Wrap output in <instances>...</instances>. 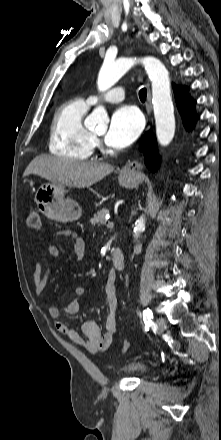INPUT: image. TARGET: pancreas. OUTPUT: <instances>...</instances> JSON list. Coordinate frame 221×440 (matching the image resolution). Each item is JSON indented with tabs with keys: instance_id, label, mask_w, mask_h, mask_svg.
Listing matches in <instances>:
<instances>
[{
	"instance_id": "pancreas-1",
	"label": "pancreas",
	"mask_w": 221,
	"mask_h": 440,
	"mask_svg": "<svg viewBox=\"0 0 221 440\" xmlns=\"http://www.w3.org/2000/svg\"><path fill=\"white\" fill-rule=\"evenodd\" d=\"M107 214H109V210L102 208L93 216V218L90 219V223L98 226L103 225L105 223V216Z\"/></svg>"
}]
</instances>
